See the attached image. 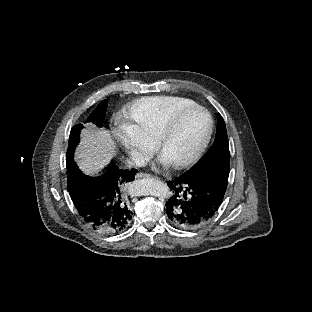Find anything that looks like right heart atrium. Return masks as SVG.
Returning <instances> with one entry per match:
<instances>
[{
  "label": "right heart atrium",
  "instance_id": "1",
  "mask_svg": "<svg viewBox=\"0 0 312 312\" xmlns=\"http://www.w3.org/2000/svg\"><path fill=\"white\" fill-rule=\"evenodd\" d=\"M114 137L118 143L122 144V153L129 157L133 165L144 167L150 163V152L145 149L141 132L135 122L124 121L115 131Z\"/></svg>",
  "mask_w": 312,
  "mask_h": 312
}]
</instances>
